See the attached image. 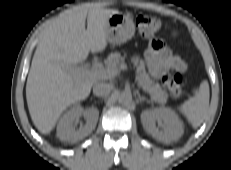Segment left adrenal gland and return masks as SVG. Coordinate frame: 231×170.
<instances>
[{
  "instance_id": "obj_1",
  "label": "left adrenal gland",
  "mask_w": 231,
  "mask_h": 170,
  "mask_svg": "<svg viewBox=\"0 0 231 170\" xmlns=\"http://www.w3.org/2000/svg\"><path fill=\"white\" fill-rule=\"evenodd\" d=\"M138 99H139L140 102L147 101L148 103H150L149 100H147L144 96H141L140 94H138Z\"/></svg>"
}]
</instances>
